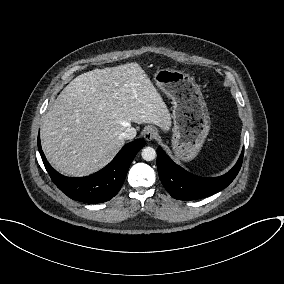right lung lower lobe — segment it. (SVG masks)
I'll return each mask as SVG.
<instances>
[{"mask_svg": "<svg viewBox=\"0 0 284 284\" xmlns=\"http://www.w3.org/2000/svg\"><path fill=\"white\" fill-rule=\"evenodd\" d=\"M145 144L143 139L130 142L97 173L87 177L73 178L59 174L50 166L41 149L38 135L39 152L52 181L68 197L85 203H102L114 197L126 178L131 162Z\"/></svg>", "mask_w": 284, "mask_h": 284, "instance_id": "98d812e1", "label": "right lung lower lobe"}]
</instances>
